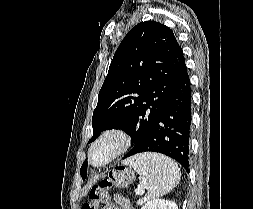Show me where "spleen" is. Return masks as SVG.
I'll use <instances>...</instances> for the list:
<instances>
[{
	"instance_id": "spleen-1",
	"label": "spleen",
	"mask_w": 253,
	"mask_h": 209,
	"mask_svg": "<svg viewBox=\"0 0 253 209\" xmlns=\"http://www.w3.org/2000/svg\"><path fill=\"white\" fill-rule=\"evenodd\" d=\"M124 164L132 166L142 176V186L148 191L138 204L161 197L179 184L181 173L178 165L162 154H138L125 160Z\"/></svg>"
}]
</instances>
